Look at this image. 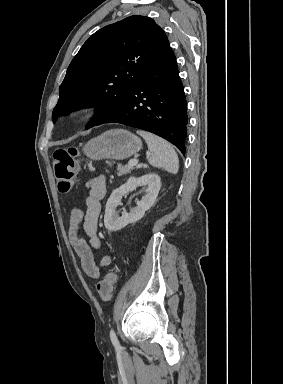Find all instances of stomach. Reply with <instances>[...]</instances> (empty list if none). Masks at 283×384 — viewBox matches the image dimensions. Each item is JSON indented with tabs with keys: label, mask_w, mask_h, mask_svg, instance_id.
<instances>
[{
	"label": "stomach",
	"mask_w": 283,
	"mask_h": 384,
	"mask_svg": "<svg viewBox=\"0 0 283 384\" xmlns=\"http://www.w3.org/2000/svg\"><path fill=\"white\" fill-rule=\"evenodd\" d=\"M141 148L140 138L127 130H108L89 140L83 152L90 160H125L137 154Z\"/></svg>",
	"instance_id": "obj_1"
}]
</instances>
